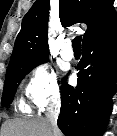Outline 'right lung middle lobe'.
Listing matches in <instances>:
<instances>
[{
  "label": "right lung middle lobe",
  "mask_w": 117,
  "mask_h": 136,
  "mask_svg": "<svg viewBox=\"0 0 117 136\" xmlns=\"http://www.w3.org/2000/svg\"><path fill=\"white\" fill-rule=\"evenodd\" d=\"M47 60L48 57L27 59L8 66L1 101L3 107L12 103L15 91L25 75H27L33 68L45 63Z\"/></svg>",
  "instance_id": "dd1d6c3e"
}]
</instances>
